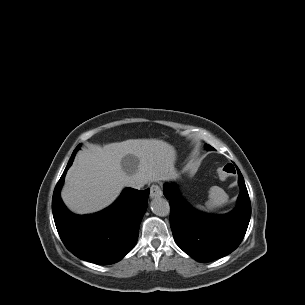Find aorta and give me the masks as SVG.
<instances>
[{
	"label": "aorta",
	"instance_id": "762f6f07",
	"mask_svg": "<svg viewBox=\"0 0 305 305\" xmlns=\"http://www.w3.org/2000/svg\"><path fill=\"white\" fill-rule=\"evenodd\" d=\"M150 209L158 216H166L169 213V204L164 198L156 197L151 201Z\"/></svg>",
	"mask_w": 305,
	"mask_h": 305
}]
</instances>
